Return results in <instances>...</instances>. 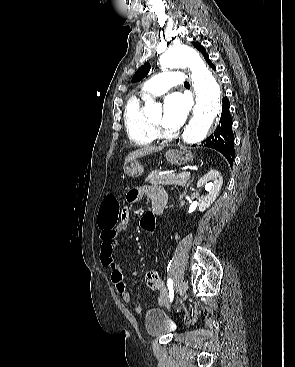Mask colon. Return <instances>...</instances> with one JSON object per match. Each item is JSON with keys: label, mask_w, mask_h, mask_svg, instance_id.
Returning <instances> with one entry per match:
<instances>
[{"label": "colon", "mask_w": 295, "mask_h": 367, "mask_svg": "<svg viewBox=\"0 0 295 367\" xmlns=\"http://www.w3.org/2000/svg\"><path fill=\"white\" fill-rule=\"evenodd\" d=\"M121 206L119 200L113 196H107L102 202L99 216H98V224L104 227H112L116 224V222L121 217ZM154 218L150 214H146L139 225L140 231H147L149 235L154 233ZM149 287V286H148ZM150 288V287H149ZM153 290V289H152Z\"/></svg>", "instance_id": "1"}]
</instances>
